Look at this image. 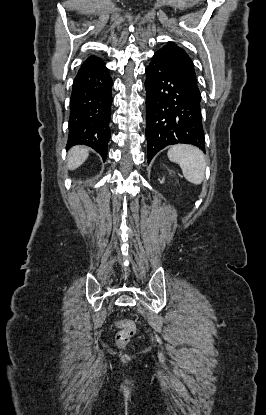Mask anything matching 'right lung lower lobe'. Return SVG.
<instances>
[{
    "label": "right lung lower lobe",
    "mask_w": 266,
    "mask_h": 415,
    "mask_svg": "<svg viewBox=\"0 0 266 415\" xmlns=\"http://www.w3.org/2000/svg\"><path fill=\"white\" fill-rule=\"evenodd\" d=\"M112 79L105 65L77 74L70 98L69 135L66 148L87 145L103 159L110 139Z\"/></svg>",
    "instance_id": "1"
}]
</instances>
